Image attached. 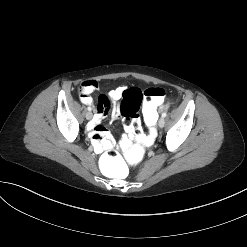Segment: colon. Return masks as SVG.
<instances>
[{
  "mask_svg": "<svg viewBox=\"0 0 247 247\" xmlns=\"http://www.w3.org/2000/svg\"><path fill=\"white\" fill-rule=\"evenodd\" d=\"M86 84H82L80 91H86ZM165 91L159 87H150L144 91L138 88L125 90L122 96L120 113L130 135L140 139L142 124L139 109L143 103L146 123V134L141 141H134L116 151L113 149L105 151L99 158L100 171L110 178L121 181L126 179L132 166L144 161L148 155V148L153 145L154 139L159 135V123L155 120L157 108L163 103Z\"/></svg>",
  "mask_w": 247,
  "mask_h": 247,
  "instance_id": "5ec220e1",
  "label": "colon"
}]
</instances>
